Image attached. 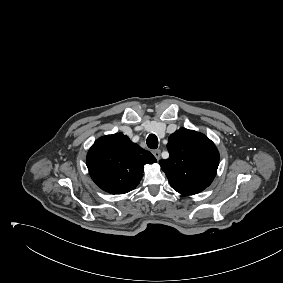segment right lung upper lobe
I'll return each instance as SVG.
<instances>
[{
  "label": "right lung upper lobe",
  "instance_id": "1",
  "mask_svg": "<svg viewBox=\"0 0 283 283\" xmlns=\"http://www.w3.org/2000/svg\"><path fill=\"white\" fill-rule=\"evenodd\" d=\"M156 158L122 133L99 138L87 154V168L93 181L111 194H124L136 188L145 164Z\"/></svg>",
  "mask_w": 283,
  "mask_h": 283
}]
</instances>
